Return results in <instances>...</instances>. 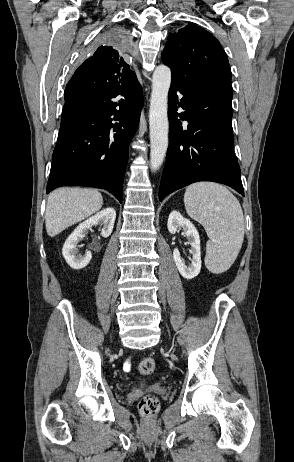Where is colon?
Segmentation results:
<instances>
[{"mask_svg":"<svg viewBox=\"0 0 294 462\" xmlns=\"http://www.w3.org/2000/svg\"><path fill=\"white\" fill-rule=\"evenodd\" d=\"M138 369L142 375H150L155 369V360L153 358H144L139 363ZM158 408V399L151 395L144 396L139 402V410L146 417L153 416Z\"/></svg>","mask_w":294,"mask_h":462,"instance_id":"5ec220e1","label":"colon"}]
</instances>
